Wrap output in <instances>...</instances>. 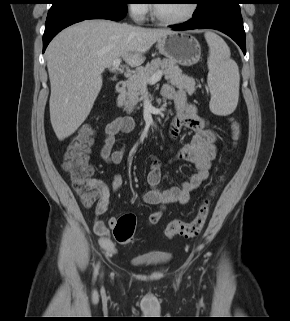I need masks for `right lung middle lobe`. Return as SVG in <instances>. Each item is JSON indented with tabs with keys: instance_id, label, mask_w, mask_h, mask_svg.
<instances>
[{
	"instance_id": "dd1d6c3e",
	"label": "right lung middle lobe",
	"mask_w": 290,
	"mask_h": 321,
	"mask_svg": "<svg viewBox=\"0 0 290 321\" xmlns=\"http://www.w3.org/2000/svg\"><path fill=\"white\" fill-rule=\"evenodd\" d=\"M129 0H52V7L73 5L85 8L127 7Z\"/></svg>"
}]
</instances>
